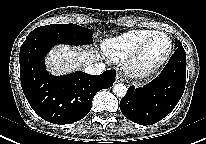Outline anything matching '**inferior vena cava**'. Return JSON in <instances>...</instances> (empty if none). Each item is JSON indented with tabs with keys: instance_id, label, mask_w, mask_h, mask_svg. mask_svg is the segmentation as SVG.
Instances as JSON below:
<instances>
[{
	"instance_id": "1",
	"label": "inferior vena cava",
	"mask_w": 206,
	"mask_h": 144,
	"mask_svg": "<svg viewBox=\"0 0 206 144\" xmlns=\"http://www.w3.org/2000/svg\"><path fill=\"white\" fill-rule=\"evenodd\" d=\"M104 69H105V64L95 63V64L88 65L85 68V72L90 75H100L103 73Z\"/></svg>"
}]
</instances>
